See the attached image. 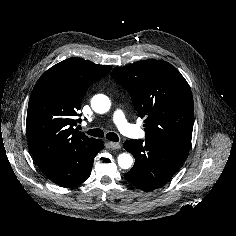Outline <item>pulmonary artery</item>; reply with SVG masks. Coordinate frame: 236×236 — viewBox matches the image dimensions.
<instances>
[{
	"label": "pulmonary artery",
	"mask_w": 236,
	"mask_h": 236,
	"mask_svg": "<svg viewBox=\"0 0 236 236\" xmlns=\"http://www.w3.org/2000/svg\"><path fill=\"white\" fill-rule=\"evenodd\" d=\"M112 119L120 132L126 136L138 134L143 136L142 131L135 125L128 122L124 112L121 109H116L113 112Z\"/></svg>",
	"instance_id": "obj_1"
}]
</instances>
